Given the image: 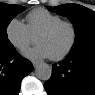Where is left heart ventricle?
Returning a JSON list of instances; mask_svg holds the SVG:
<instances>
[{"instance_id": "obj_1", "label": "left heart ventricle", "mask_w": 95, "mask_h": 95, "mask_svg": "<svg viewBox=\"0 0 95 95\" xmlns=\"http://www.w3.org/2000/svg\"><path fill=\"white\" fill-rule=\"evenodd\" d=\"M71 38V29L68 26H61L51 34L37 35L36 42L45 45L51 56H54L62 53L68 47Z\"/></svg>"}]
</instances>
